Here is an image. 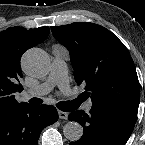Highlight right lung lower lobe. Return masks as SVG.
Listing matches in <instances>:
<instances>
[{
	"label": "right lung lower lobe",
	"instance_id": "1",
	"mask_svg": "<svg viewBox=\"0 0 145 145\" xmlns=\"http://www.w3.org/2000/svg\"><path fill=\"white\" fill-rule=\"evenodd\" d=\"M57 120L54 106H20L0 115V145H38L42 129Z\"/></svg>",
	"mask_w": 145,
	"mask_h": 145
}]
</instances>
